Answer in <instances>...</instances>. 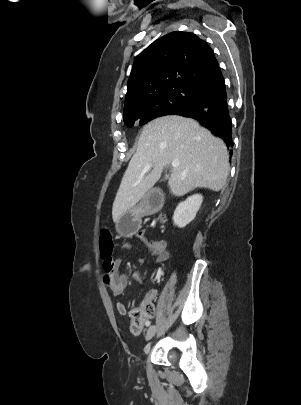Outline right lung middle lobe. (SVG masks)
Returning <instances> with one entry per match:
<instances>
[{
  "mask_svg": "<svg viewBox=\"0 0 301 405\" xmlns=\"http://www.w3.org/2000/svg\"><path fill=\"white\" fill-rule=\"evenodd\" d=\"M205 95L206 93L191 88L160 92L144 98L138 107L123 113V119L129 127H132L136 120H139L140 125H144L156 117L168 115L178 108L195 103Z\"/></svg>",
  "mask_w": 301,
  "mask_h": 405,
  "instance_id": "right-lung-middle-lobe-1",
  "label": "right lung middle lobe"
}]
</instances>
